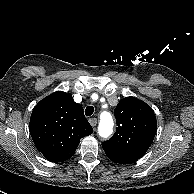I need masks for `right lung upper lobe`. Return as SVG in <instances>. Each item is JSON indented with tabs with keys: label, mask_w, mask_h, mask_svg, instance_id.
Listing matches in <instances>:
<instances>
[{
	"label": "right lung upper lobe",
	"mask_w": 194,
	"mask_h": 194,
	"mask_svg": "<svg viewBox=\"0 0 194 194\" xmlns=\"http://www.w3.org/2000/svg\"><path fill=\"white\" fill-rule=\"evenodd\" d=\"M29 130L38 151L51 162L71 158L80 139L93 132L82 106L62 91L47 96L34 107Z\"/></svg>",
	"instance_id": "cb5924a9"
}]
</instances>
